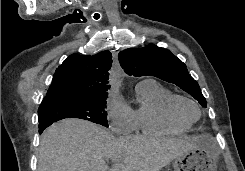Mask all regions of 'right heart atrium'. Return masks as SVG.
Here are the masks:
<instances>
[{"label": "right heart atrium", "mask_w": 245, "mask_h": 171, "mask_svg": "<svg viewBox=\"0 0 245 171\" xmlns=\"http://www.w3.org/2000/svg\"><path fill=\"white\" fill-rule=\"evenodd\" d=\"M106 115L110 128L115 133L128 134L135 129L133 111L114 91L108 95Z\"/></svg>", "instance_id": "d8ad5b80"}]
</instances>
